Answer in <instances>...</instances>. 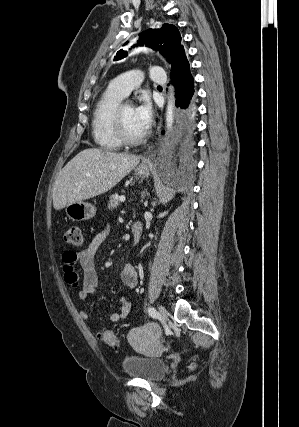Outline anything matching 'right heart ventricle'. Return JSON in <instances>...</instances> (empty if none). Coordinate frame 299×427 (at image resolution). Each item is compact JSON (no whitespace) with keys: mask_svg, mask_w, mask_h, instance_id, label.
<instances>
[{"mask_svg":"<svg viewBox=\"0 0 299 427\" xmlns=\"http://www.w3.org/2000/svg\"><path fill=\"white\" fill-rule=\"evenodd\" d=\"M123 98L109 86L95 104L92 116V137L95 145L104 151H114L121 147L114 133L112 116Z\"/></svg>","mask_w":299,"mask_h":427,"instance_id":"e07e8e85","label":"right heart ventricle"}]
</instances>
